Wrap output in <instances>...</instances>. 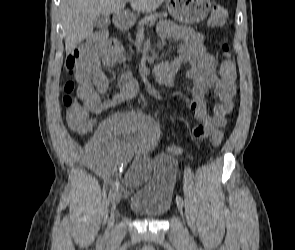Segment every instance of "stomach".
Listing matches in <instances>:
<instances>
[{
	"label": "stomach",
	"instance_id": "1",
	"mask_svg": "<svg viewBox=\"0 0 295 250\" xmlns=\"http://www.w3.org/2000/svg\"><path fill=\"white\" fill-rule=\"evenodd\" d=\"M170 15L179 22L198 23L205 19L210 11V0H168ZM134 19L128 21L133 24Z\"/></svg>",
	"mask_w": 295,
	"mask_h": 250
}]
</instances>
